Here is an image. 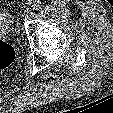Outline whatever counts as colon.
I'll return each mask as SVG.
<instances>
[{"instance_id": "colon-1", "label": "colon", "mask_w": 113, "mask_h": 113, "mask_svg": "<svg viewBox=\"0 0 113 113\" xmlns=\"http://www.w3.org/2000/svg\"><path fill=\"white\" fill-rule=\"evenodd\" d=\"M15 52L11 45L0 40V71L10 67L14 61Z\"/></svg>"}]
</instances>
